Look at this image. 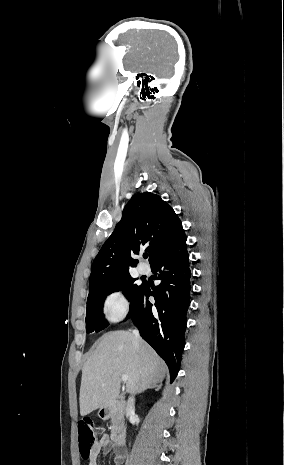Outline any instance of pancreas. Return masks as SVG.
Here are the masks:
<instances>
[{
	"label": "pancreas",
	"instance_id": "pancreas-1",
	"mask_svg": "<svg viewBox=\"0 0 284 465\" xmlns=\"http://www.w3.org/2000/svg\"><path fill=\"white\" fill-rule=\"evenodd\" d=\"M111 423H114V415L111 417Z\"/></svg>",
	"mask_w": 284,
	"mask_h": 465
}]
</instances>
